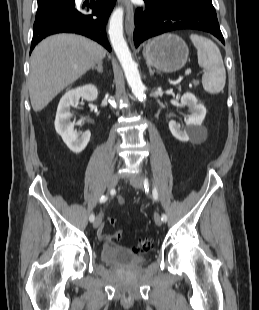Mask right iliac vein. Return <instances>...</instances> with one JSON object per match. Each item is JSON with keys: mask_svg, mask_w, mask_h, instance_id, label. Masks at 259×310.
<instances>
[{"mask_svg": "<svg viewBox=\"0 0 259 310\" xmlns=\"http://www.w3.org/2000/svg\"><path fill=\"white\" fill-rule=\"evenodd\" d=\"M117 183H118V175L114 174V175H112V176L109 178V181H108V189H109V190L114 189V188L116 187ZM101 221H102V215L99 214V215L96 217V219H95V221H94V223H93V227H94L95 229L98 228L99 225H100V223H101Z\"/></svg>", "mask_w": 259, "mask_h": 310, "instance_id": "1", "label": "right iliac vein"}]
</instances>
